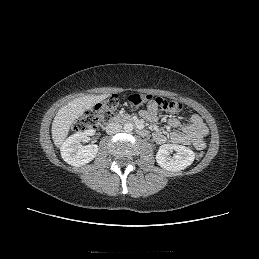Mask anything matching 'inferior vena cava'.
Listing matches in <instances>:
<instances>
[{"instance_id": "602c4592", "label": "inferior vena cava", "mask_w": 259, "mask_h": 259, "mask_svg": "<svg viewBox=\"0 0 259 259\" xmlns=\"http://www.w3.org/2000/svg\"><path fill=\"white\" fill-rule=\"evenodd\" d=\"M122 129V125L118 122H111L106 126V133L108 135H113L120 132Z\"/></svg>"}]
</instances>
